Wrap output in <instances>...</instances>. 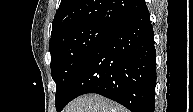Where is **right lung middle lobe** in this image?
Returning <instances> with one entry per match:
<instances>
[{"instance_id": "right-lung-middle-lobe-1", "label": "right lung middle lobe", "mask_w": 193, "mask_h": 112, "mask_svg": "<svg viewBox=\"0 0 193 112\" xmlns=\"http://www.w3.org/2000/svg\"><path fill=\"white\" fill-rule=\"evenodd\" d=\"M111 30L98 24L84 23L65 28L51 37V73L57 86L55 105L58 112L78 70Z\"/></svg>"}]
</instances>
